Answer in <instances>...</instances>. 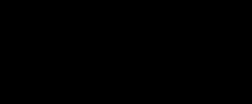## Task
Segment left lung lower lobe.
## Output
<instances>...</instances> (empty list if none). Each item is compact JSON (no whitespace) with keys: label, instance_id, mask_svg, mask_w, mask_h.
I'll list each match as a JSON object with an SVG mask.
<instances>
[{"label":"left lung lower lobe","instance_id":"obj_1","mask_svg":"<svg viewBox=\"0 0 252 104\" xmlns=\"http://www.w3.org/2000/svg\"><path fill=\"white\" fill-rule=\"evenodd\" d=\"M215 73L182 77L153 94L156 102L169 104L213 103L217 93ZM196 100V101H195Z\"/></svg>","mask_w":252,"mask_h":104}]
</instances>
